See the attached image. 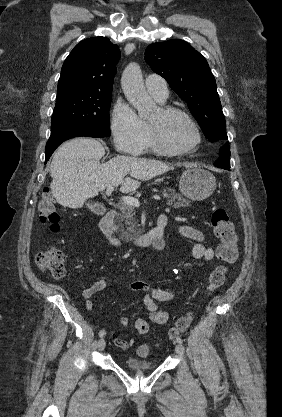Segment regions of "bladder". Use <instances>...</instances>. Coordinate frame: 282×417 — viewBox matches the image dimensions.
Masks as SVG:
<instances>
[{
  "label": "bladder",
  "mask_w": 282,
  "mask_h": 417,
  "mask_svg": "<svg viewBox=\"0 0 282 417\" xmlns=\"http://www.w3.org/2000/svg\"><path fill=\"white\" fill-rule=\"evenodd\" d=\"M125 366L136 372H144L152 368L153 364L150 361L141 360L135 357H128L124 361Z\"/></svg>",
  "instance_id": "31cf9c89"
}]
</instances>
